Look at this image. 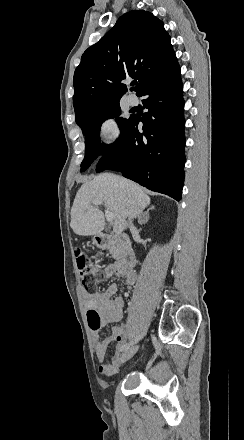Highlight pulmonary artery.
I'll list each match as a JSON object with an SVG mask.
<instances>
[{
	"mask_svg": "<svg viewBox=\"0 0 244 440\" xmlns=\"http://www.w3.org/2000/svg\"><path fill=\"white\" fill-rule=\"evenodd\" d=\"M127 99L130 105H136L138 103V98L135 94H129Z\"/></svg>",
	"mask_w": 244,
	"mask_h": 440,
	"instance_id": "1",
	"label": "pulmonary artery"
}]
</instances>
